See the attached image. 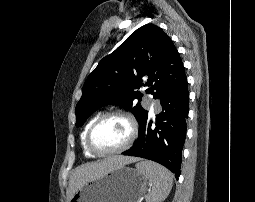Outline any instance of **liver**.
<instances>
[{"instance_id": "6515ba94", "label": "liver", "mask_w": 255, "mask_h": 202, "mask_svg": "<svg viewBox=\"0 0 255 202\" xmlns=\"http://www.w3.org/2000/svg\"><path fill=\"white\" fill-rule=\"evenodd\" d=\"M136 161H138V159L135 157L119 155L111 156L101 161L87 163L85 165L77 167L70 176L68 190L69 199L84 183L92 179L101 177L113 169L124 166L126 164L134 163Z\"/></svg>"}]
</instances>
